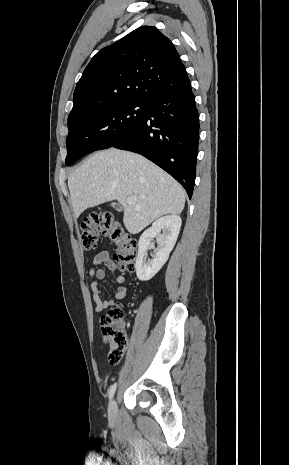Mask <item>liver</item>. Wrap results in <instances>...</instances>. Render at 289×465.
<instances>
[{
	"mask_svg": "<svg viewBox=\"0 0 289 465\" xmlns=\"http://www.w3.org/2000/svg\"><path fill=\"white\" fill-rule=\"evenodd\" d=\"M75 218L87 208L117 200L127 231L137 234L162 215L180 214L185 192L177 181L141 155L110 148L89 156L68 178ZM135 201L127 203V198Z\"/></svg>",
	"mask_w": 289,
	"mask_h": 465,
	"instance_id": "liver-1",
	"label": "liver"
}]
</instances>
